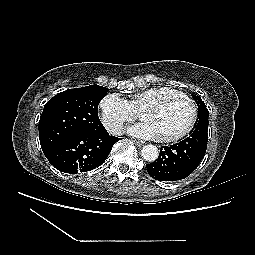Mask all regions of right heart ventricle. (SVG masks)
Returning <instances> with one entry per match:
<instances>
[{
    "label": "right heart ventricle",
    "instance_id": "obj_1",
    "mask_svg": "<svg viewBox=\"0 0 255 255\" xmlns=\"http://www.w3.org/2000/svg\"><path fill=\"white\" fill-rule=\"evenodd\" d=\"M172 91H174V89L165 86L148 88L136 94L135 97L128 102L135 112H139L145 105Z\"/></svg>",
    "mask_w": 255,
    "mask_h": 255
}]
</instances>
